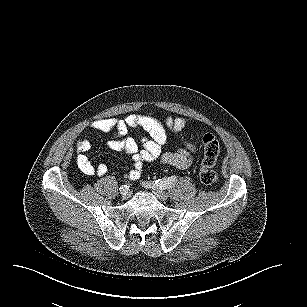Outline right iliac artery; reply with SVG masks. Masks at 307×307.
Masks as SVG:
<instances>
[{"label":"right iliac artery","instance_id":"obj_1","mask_svg":"<svg viewBox=\"0 0 307 307\" xmlns=\"http://www.w3.org/2000/svg\"><path fill=\"white\" fill-rule=\"evenodd\" d=\"M125 187H127V185L121 186L120 188L124 189ZM120 188H119V189H120Z\"/></svg>","mask_w":307,"mask_h":307}]
</instances>
